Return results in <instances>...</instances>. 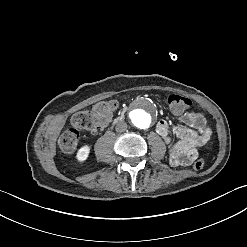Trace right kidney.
<instances>
[{
	"label": "right kidney",
	"mask_w": 247,
	"mask_h": 247,
	"mask_svg": "<svg viewBox=\"0 0 247 247\" xmlns=\"http://www.w3.org/2000/svg\"><path fill=\"white\" fill-rule=\"evenodd\" d=\"M90 150H91V147L88 144L81 146L76 153V156H75L76 160L79 163L85 162L89 157Z\"/></svg>",
	"instance_id": "obj_1"
}]
</instances>
